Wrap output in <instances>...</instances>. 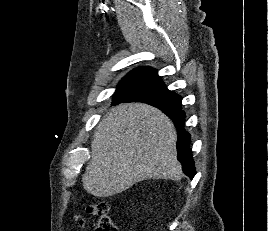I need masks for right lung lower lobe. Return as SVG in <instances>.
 <instances>
[{"label": "right lung lower lobe", "instance_id": "obj_1", "mask_svg": "<svg viewBox=\"0 0 268 231\" xmlns=\"http://www.w3.org/2000/svg\"><path fill=\"white\" fill-rule=\"evenodd\" d=\"M179 107H168L161 109L174 123L178 132L177 158L182 163L183 172L193 179L195 166L190 149V134L185 131V113Z\"/></svg>", "mask_w": 268, "mask_h": 231}]
</instances>
